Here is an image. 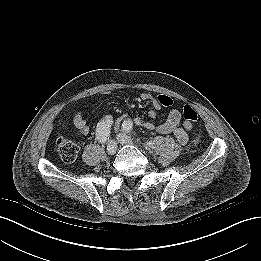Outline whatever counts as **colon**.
<instances>
[{
  "mask_svg": "<svg viewBox=\"0 0 261 261\" xmlns=\"http://www.w3.org/2000/svg\"><path fill=\"white\" fill-rule=\"evenodd\" d=\"M161 102L164 104H170V98L165 97L163 95L158 96ZM183 116L185 121L189 123H194L198 119V114L196 110L190 106L185 105L183 108ZM197 140L194 141L196 143ZM57 152L65 163H72L77 158V155L79 153V145L73 141L66 140V139H60L57 142Z\"/></svg>",
  "mask_w": 261,
  "mask_h": 261,
  "instance_id": "5ec220e1",
  "label": "colon"
}]
</instances>
